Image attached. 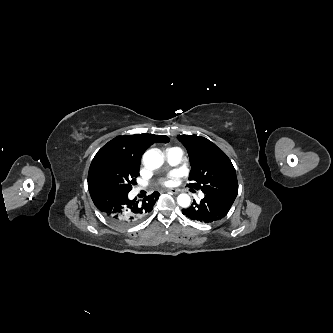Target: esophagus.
I'll return each instance as SVG.
<instances>
[{"label": "esophagus", "instance_id": "1", "mask_svg": "<svg viewBox=\"0 0 333 333\" xmlns=\"http://www.w3.org/2000/svg\"><path fill=\"white\" fill-rule=\"evenodd\" d=\"M166 191H167L168 193H172V194H178V193H179V191L176 190V189H167Z\"/></svg>", "mask_w": 333, "mask_h": 333}]
</instances>
